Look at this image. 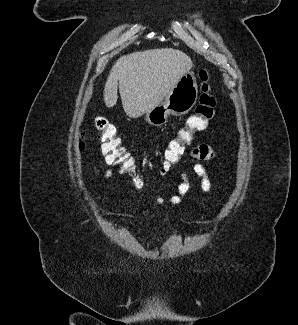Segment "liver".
Wrapping results in <instances>:
<instances>
[{"label": "liver", "instance_id": "obj_1", "mask_svg": "<svg viewBox=\"0 0 298 325\" xmlns=\"http://www.w3.org/2000/svg\"><path fill=\"white\" fill-rule=\"evenodd\" d=\"M193 66L191 56L179 48H148L124 54L113 64L105 82L103 96L108 108L118 100L130 118H139L161 104L182 74Z\"/></svg>", "mask_w": 298, "mask_h": 325}]
</instances>
